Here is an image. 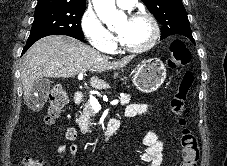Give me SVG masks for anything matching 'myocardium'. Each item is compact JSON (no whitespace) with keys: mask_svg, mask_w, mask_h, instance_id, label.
Returning a JSON list of instances; mask_svg holds the SVG:
<instances>
[{"mask_svg":"<svg viewBox=\"0 0 227 166\" xmlns=\"http://www.w3.org/2000/svg\"><path fill=\"white\" fill-rule=\"evenodd\" d=\"M129 19H131V20H135V19L147 20L150 23V26L152 28V35L146 44L137 46V47L126 46L120 41V47L122 48V50L129 52V53H143V52L150 50L156 44V42L158 41L159 36H160L159 25H158V22L155 19V17L148 12L138 11V12L131 13L129 15Z\"/></svg>","mask_w":227,"mask_h":166,"instance_id":"obj_1","label":"myocardium"}]
</instances>
